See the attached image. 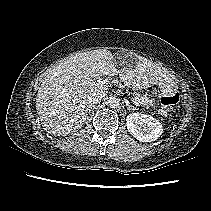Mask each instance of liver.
Listing matches in <instances>:
<instances>
[{"instance_id":"liver-1","label":"liver","mask_w":211,"mask_h":211,"mask_svg":"<svg viewBox=\"0 0 211 211\" xmlns=\"http://www.w3.org/2000/svg\"><path fill=\"white\" fill-rule=\"evenodd\" d=\"M136 61L133 69L118 70L112 53L98 49L59 63L46 75L36 97V110L44 130L52 135L66 136L80 129L85 121L88 97L111 87L110 83L97 84L102 76L119 73L127 87L138 90L171 80L169 74L152 61L144 57ZM120 64L126 65L124 60Z\"/></svg>"}]
</instances>
